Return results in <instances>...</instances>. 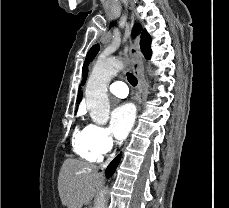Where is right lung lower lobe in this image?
Returning a JSON list of instances; mask_svg holds the SVG:
<instances>
[{"instance_id": "obj_1", "label": "right lung lower lobe", "mask_w": 229, "mask_h": 208, "mask_svg": "<svg viewBox=\"0 0 229 208\" xmlns=\"http://www.w3.org/2000/svg\"><path fill=\"white\" fill-rule=\"evenodd\" d=\"M120 156H117L107 167L106 169V177L109 178L113 175L115 172L116 167L119 164Z\"/></svg>"}]
</instances>
